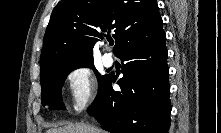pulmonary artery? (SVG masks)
<instances>
[{
  "label": "pulmonary artery",
  "instance_id": "obj_1",
  "mask_svg": "<svg viewBox=\"0 0 221 133\" xmlns=\"http://www.w3.org/2000/svg\"><path fill=\"white\" fill-rule=\"evenodd\" d=\"M102 60H103V64L106 67H111L114 63V58L110 53H105L102 57Z\"/></svg>",
  "mask_w": 221,
  "mask_h": 133
}]
</instances>
